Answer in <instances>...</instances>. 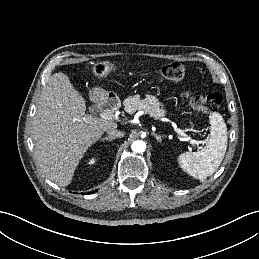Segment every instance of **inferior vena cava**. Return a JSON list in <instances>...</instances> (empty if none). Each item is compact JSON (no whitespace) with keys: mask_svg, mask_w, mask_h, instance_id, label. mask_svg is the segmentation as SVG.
Masks as SVG:
<instances>
[{"mask_svg":"<svg viewBox=\"0 0 259 259\" xmlns=\"http://www.w3.org/2000/svg\"><path fill=\"white\" fill-rule=\"evenodd\" d=\"M107 133L109 134V136H114V137H123L124 136V132L119 131L117 129H108Z\"/></svg>","mask_w":259,"mask_h":259,"instance_id":"602c4592","label":"inferior vena cava"}]
</instances>
